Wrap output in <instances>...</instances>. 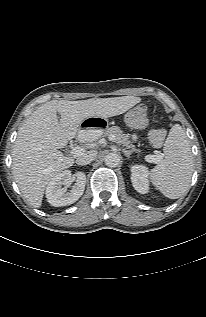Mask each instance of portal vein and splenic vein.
<instances>
[{
  "instance_id": "portal-vein-and-splenic-vein-1",
  "label": "portal vein and splenic vein",
  "mask_w": 206,
  "mask_h": 317,
  "mask_svg": "<svg viewBox=\"0 0 206 317\" xmlns=\"http://www.w3.org/2000/svg\"><path fill=\"white\" fill-rule=\"evenodd\" d=\"M109 140L110 141H114L115 137L113 135H111V136H109ZM82 153H83V148H81V147L77 146V147H74L72 149V154L75 157L81 155ZM162 157L163 156L161 154L147 155L145 159H146L147 162L157 163V162H159L162 159Z\"/></svg>"
}]
</instances>
